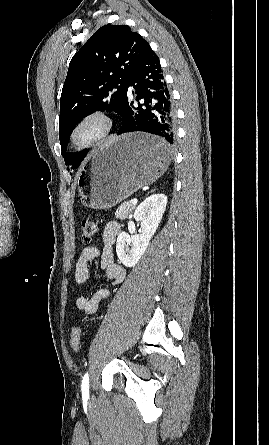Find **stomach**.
I'll return each mask as SVG.
<instances>
[{
  "label": "stomach",
  "instance_id": "obj_1",
  "mask_svg": "<svg viewBox=\"0 0 269 445\" xmlns=\"http://www.w3.org/2000/svg\"><path fill=\"white\" fill-rule=\"evenodd\" d=\"M158 138L140 132L113 138L97 150L78 177L82 204L108 209L155 182L167 169L171 153L149 154L145 145Z\"/></svg>",
  "mask_w": 269,
  "mask_h": 445
}]
</instances>
